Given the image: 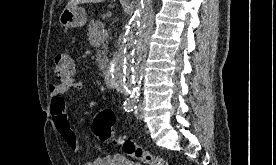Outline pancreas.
<instances>
[{
	"label": "pancreas",
	"mask_w": 276,
	"mask_h": 165,
	"mask_svg": "<svg viewBox=\"0 0 276 165\" xmlns=\"http://www.w3.org/2000/svg\"><path fill=\"white\" fill-rule=\"evenodd\" d=\"M104 25L101 21H91L88 27V40L89 43L95 47H101V50H97L96 61L98 63L99 70L102 71L106 67L107 62V46L105 44L106 38L99 39V34L103 30Z\"/></svg>",
	"instance_id": "cf45deb5"
}]
</instances>
